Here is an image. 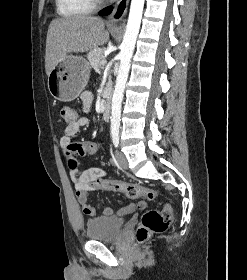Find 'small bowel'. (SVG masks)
<instances>
[{
    "instance_id": "c3829d8e",
    "label": "small bowel",
    "mask_w": 247,
    "mask_h": 280,
    "mask_svg": "<svg viewBox=\"0 0 247 280\" xmlns=\"http://www.w3.org/2000/svg\"><path fill=\"white\" fill-rule=\"evenodd\" d=\"M82 100L85 107H88L92 101V94L90 92H84L82 94ZM89 118L87 116H81L74 124H69L64 129L63 135L61 137L60 143L66 154V157H74V154L69 153V145L72 143V138L79 132L82 127H86L89 125ZM74 174V182H75V194L78 200V203L81 206V209L85 215L95 216L97 214L96 209L89 204V193L91 191H96L104 188H91L88 189L84 186V181L86 179H96L101 178L102 176H106L105 171L93 168L82 172L80 175H76V171H73ZM145 203L140 202L138 204L130 203L120 209L119 214L125 215L133 212L137 208H144ZM103 215L106 217H110L113 215V209L110 207H106L102 211Z\"/></svg>"
}]
</instances>
